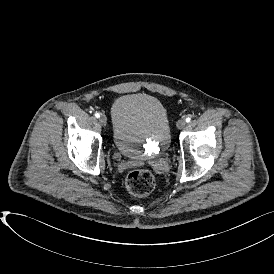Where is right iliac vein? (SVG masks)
Wrapping results in <instances>:
<instances>
[{"mask_svg": "<svg viewBox=\"0 0 274 274\" xmlns=\"http://www.w3.org/2000/svg\"><path fill=\"white\" fill-rule=\"evenodd\" d=\"M99 122L101 125L105 126L107 124V117L105 115H101L99 117Z\"/></svg>", "mask_w": 274, "mask_h": 274, "instance_id": "obj_1", "label": "right iliac vein"}]
</instances>
